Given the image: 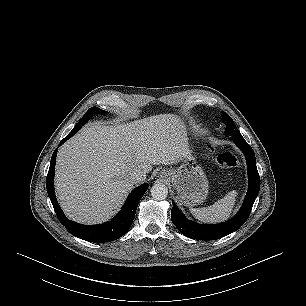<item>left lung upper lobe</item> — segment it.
Listing matches in <instances>:
<instances>
[{
  "label": "left lung upper lobe",
  "mask_w": 306,
  "mask_h": 306,
  "mask_svg": "<svg viewBox=\"0 0 306 306\" xmlns=\"http://www.w3.org/2000/svg\"><path fill=\"white\" fill-rule=\"evenodd\" d=\"M223 120L224 123L226 124V131H225L226 134H230L233 137H239V138L242 137L239 130L236 129V125L233 122L232 118L228 114L223 113Z\"/></svg>",
  "instance_id": "obj_1"
}]
</instances>
